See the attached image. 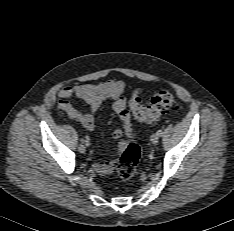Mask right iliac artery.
<instances>
[{
    "label": "right iliac artery",
    "mask_w": 234,
    "mask_h": 231,
    "mask_svg": "<svg viewBox=\"0 0 234 231\" xmlns=\"http://www.w3.org/2000/svg\"><path fill=\"white\" fill-rule=\"evenodd\" d=\"M90 139L88 137L85 138V143H86V146H89L90 145Z\"/></svg>",
    "instance_id": "obj_1"
}]
</instances>
